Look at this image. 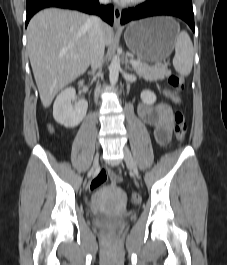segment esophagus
Returning a JSON list of instances; mask_svg holds the SVG:
<instances>
[{
  "instance_id": "obj_1",
  "label": "esophagus",
  "mask_w": 227,
  "mask_h": 265,
  "mask_svg": "<svg viewBox=\"0 0 227 265\" xmlns=\"http://www.w3.org/2000/svg\"><path fill=\"white\" fill-rule=\"evenodd\" d=\"M121 10L117 7L114 8V26L120 28Z\"/></svg>"
}]
</instances>
